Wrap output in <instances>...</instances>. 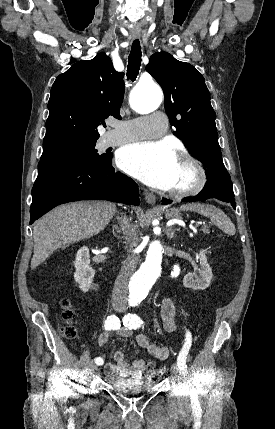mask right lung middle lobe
Segmentation results:
<instances>
[{
    "mask_svg": "<svg viewBox=\"0 0 275 429\" xmlns=\"http://www.w3.org/2000/svg\"><path fill=\"white\" fill-rule=\"evenodd\" d=\"M96 143L75 145L52 155L41 157L38 174L64 167H88L112 160L111 154L99 155Z\"/></svg>",
    "mask_w": 275,
    "mask_h": 429,
    "instance_id": "1",
    "label": "right lung middle lobe"
}]
</instances>
